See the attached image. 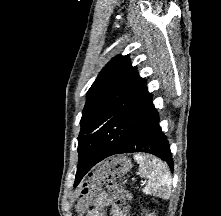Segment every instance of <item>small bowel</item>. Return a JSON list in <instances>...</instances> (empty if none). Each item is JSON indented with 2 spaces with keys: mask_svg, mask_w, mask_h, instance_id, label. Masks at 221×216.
<instances>
[{
  "mask_svg": "<svg viewBox=\"0 0 221 216\" xmlns=\"http://www.w3.org/2000/svg\"><path fill=\"white\" fill-rule=\"evenodd\" d=\"M106 207H110L111 216H125L120 207L115 204L112 195L101 193L97 198L94 209L89 212L88 216H108Z\"/></svg>",
  "mask_w": 221,
  "mask_h": 216,
  "instance_id": "obj_1",
  "label": "small bowel"
}]
</instances>
